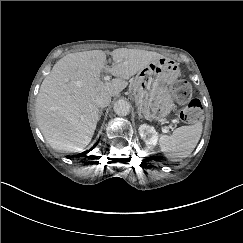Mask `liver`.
Returning a JSON list of instances; mask_svg holds the SVG:
<instances>
[{
  "mask_svg": "<svg viewBox=\"0 0 243 243\" xmlns=\"http://www.w3.org/2000/svg\"><path fill=\"white\" fill-rule=\"evenodd\" d=\"M113 65H106V53L92 50L61 58L44 78L35 105L37 124L55 150L80 152L91 141L99 109L94 100L106 92L118 95L126 81L150 62L164 57L146 50L118 48L111 53ZM102 69L117 78L103 83Z\"/></svg>",
  "mask_w": 243,
  "mask_h": 243,
  "instance_id": "6515ba94",
  "label": "liver"
}]
</instances>
